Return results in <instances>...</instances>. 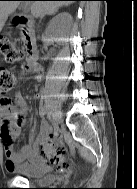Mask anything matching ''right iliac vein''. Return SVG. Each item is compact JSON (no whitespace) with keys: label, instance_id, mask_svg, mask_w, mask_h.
<instances>
[{"label":"right iliac vein","instance_id":"1","mask_svg":"<svg viewBox=\"0 0 137 189\" xmlns=\"http://www.w3.org/2000/svg\"><path fill=\"white\" fill-rule=\"evenodd\" d=\"M61 120H62V116H61L60 111H55L52 117V123H53L54 129L56 130L58 129V126Z\"/></svg>","mask_w":137,"mask_h":189}]
</instances>
